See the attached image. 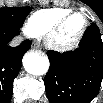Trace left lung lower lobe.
Instances as JSON below:
<instances>
[{
  "label": "left lung lower lobe",
  "instance_id": "left-lung-lower-lobe-1",
  "mask_svg": "<svg viewBox=\"0 0 103 103\" xmlns=\"http://www.w3.org/2000/svg\"><path fill=\"white\" fill-rule=\"evenodd\" d=\"M47 55L50 69L44 83L51 103H89L97 96L103 80V42L96 24L87 28L75 51Z\"/></svg>",
  "mask_w": 103,
  "mask_h": 103
}]
</instances>
